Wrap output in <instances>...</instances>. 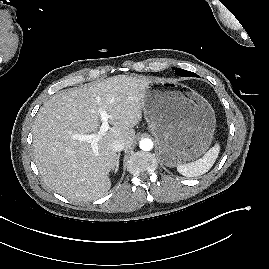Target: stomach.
<instances>
[{"mask_svg": "<svg viewBox=\"0 0 269 269\" xmlns=\"http://www.w3.org/2000/svg\"><path fill=\"white\" fill-rule=\"evenodd\" d=\"M142 108L166 166L194 160L211 144L215 113L210 103L195 91L173 81L150 80Z\"/></svg>", "mask_w": 269, "mask_h": 269, "instance_id": "0dacf381", "label": "stomach"}]
</instances>
